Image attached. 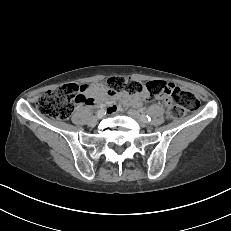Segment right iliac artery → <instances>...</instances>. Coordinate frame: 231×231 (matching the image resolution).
Here are the masks:
<instances>
[{"label":"right iliac artery","mask_w":231,"mask_h":231,"mask_svg":"<svg viewBox=\"0 0 231 231\" xmlns=\"http://www.w3.org/2000/svg\"><path fill=\"white\" fill-rule=\"evenodd\" d=\"M100 113H104V114H105V112H104L103 109H101V110H99V111L97 112V114H100Z\"/></svg>","instance_id":"82829eb1"}]
</instances>
